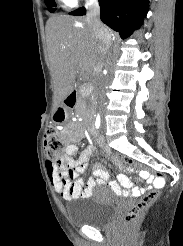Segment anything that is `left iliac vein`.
Here are the masks:
<instances>
[{
    "mask_svg": "<svg viewBox=\"0 0 183 246\" xmlns=\"http://www.w3.org/2000/svg\"><path fill=\"white\" fill-rule=\"evenodd\" d=\"M101 130L104 131L105 130V122L103 121L102 122V127H101Z\"/></svg>",
    "mask_w": 183,
    "mask_h": 246,
    "instance_id": "1",
    "label": "left iliac vein"
}]
</instances>
